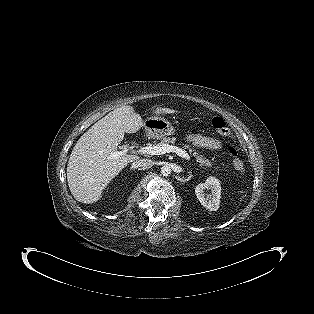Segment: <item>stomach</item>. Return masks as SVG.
Segmentation results:
<instances>
[{
  "instance_id": "1",
  "label": "stomach",
  "mask_w": 314,
  "mask_h": 314,
  "mask_svg": "<svg viewBox=\"0 0 314 314\" xmlns=\"http://www.w3.org/2000/svg\"><path fill=\"white\" fill-rule=\"evenodd\" d=\"M147 133L157 139L175 134V128L162 117H150L143 124Z\"/></svg>"
}]
</instances>
